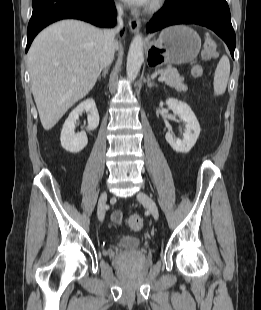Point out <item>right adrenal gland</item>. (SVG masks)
<instances>
[{
    "label": "right adrenal gland",
    "instance_id": "1",
    "mask_svg": "<svg viewBox=\"0 0 261 310\" xmlns=\"http://www.w3.org/2000/svg\"><path fill=\"white\" fill-rule=\"evenodd\" d=\"M108 68H105V69H103V71H102V76L105 78L106 77V75H107V73H108ZM101 78V71L99 72V75H98V79H100Z\"/></svg>",
    "mask_w": 261,
    "mask_h": 310
}]
</instances>
